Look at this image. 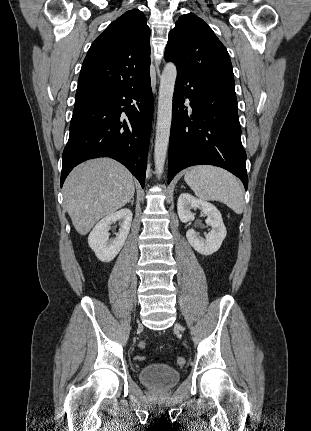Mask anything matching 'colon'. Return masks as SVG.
<instances>
[{
  "instance_id": "colon-1",
  "label": "colon",
  "mask_w": 311,
  "mask_h": 431,
  "mask_svg": "<svg viewBox=\"0 0 311 431\" xmlns=\"http://www.w3.org/2000/svg\"><path fill=\"white\" fill-rule=\"evenodd\" d=\"M146 346L147 345H146L145 342H140L139 343V348L140 349H145ZM135 359L138 360V361H143V360H145V356L144 355H137V356H135ZM177 363H178V365L183 366V365L186 364V359L184 357H178Z\"/></svg>"
}]
</instances>
